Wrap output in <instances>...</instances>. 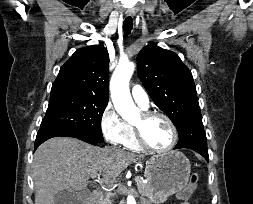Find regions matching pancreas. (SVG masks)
<instances>
[{
    "label": "pancreas",
    "instance_id": "cf45deb5",
    "mask_svg": "<svg viewBox=\"0 0 253 204\" xmlns=\"http://www.w3.org/2000/svg\"><path fill=\"white\" fill-rule=\"evenodd\" d=\"M137 187H138L139 193H141L142 195H147L152 191L151 185H149L148 183H143L142 178L139 182H137ZM112 196H113V193L107 192L104 196L100 198V200L98 201V204H111L110 198Z\"/></svg>",
    "mask_w": 253,
    "mask_h": 204
}]
</instances>
